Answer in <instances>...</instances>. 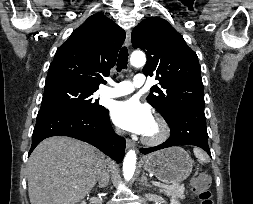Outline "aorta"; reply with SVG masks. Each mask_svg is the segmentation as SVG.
Here are the masks:
<instances>
[{
    "mask_svg": "<svg viewBox=\"0 0 253 204\" xmlns=\"http://www.w3.org/2000/svg\"><path fill=\"white\" fill-rule=\"evenodd\" d=\"M146 57L142 51H134L130 57V63L134 67H141L145 64ZM136 168V153L134 150L128 151L123 162V175L125 180L133 177Z\"/></svg>",
    "mask_w": 253,
    "mask_h": 204,
    "instance_id": "1",
    "label": "aorta"
}]
</instances>
